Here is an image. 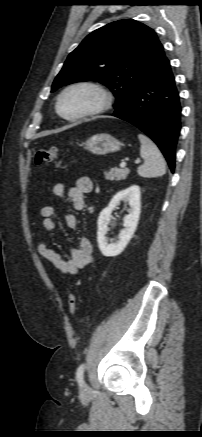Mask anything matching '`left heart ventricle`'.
Segmentation results:
<instances>
[{
    "label": "left heart ventricle",
    "mask_w": 202,
    "mask_h": 437,
    "mask_svg": "<svg viewBox=\"0 0 202 437\" xmlns=\"http://www.w3.org/2000/svg\"><path fill=\"white\" fill-rule=\"evenodd\" d=\"M98 96L90 89L78 88L68 92L61 101V111L66 116H75L95 106Z\"/></svg>",
    "instance_id": "obj_1"
}]
</instances>
